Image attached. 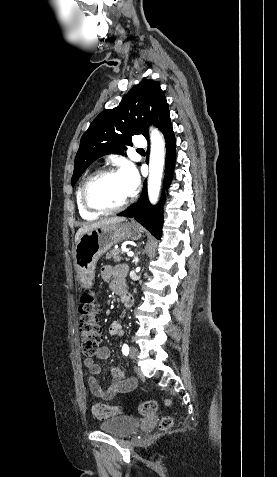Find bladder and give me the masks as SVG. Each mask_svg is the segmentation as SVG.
Returning a JSON list of instances; mask_svg holds the SVG:
<instances>
[{
	"label": "bladder",
	"instance_id": "1",
	"mask_svg": "<svg viewBox=\"0 0 277 477\" xmlns=\"http://www.w3.org/2000/svg\"><path fill=\"white\" fill-rule=\"evenodd\" d=\"M139 427V420L127 415H115L101 422L102 432L114 437H126Z\"/></svg>",
	"mask_w": 277,
	"mask_h": 477
}]
</instances>
